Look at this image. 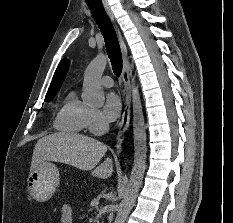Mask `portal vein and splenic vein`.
<instances>
[{
  "instance_id": "portal-vein-and-splenic-vein-1",
  "label": "portal vein and splenic vein",
  "mask_w": 233,
  "mask_h": 223,
  "mask_svg": "<svg viewBox=\"0 0 233 223\" xmlns=\"http://www.w3.org/2000/svg\"><path fill=\"white\" fill-rule=\"evenodd\" d=\"M99 202H92L91 201V205H98Z\"/></svg>"
}]
</instances>
